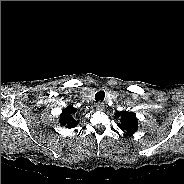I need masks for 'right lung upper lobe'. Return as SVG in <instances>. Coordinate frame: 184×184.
<instances>
[{"instance_id":"right-lung-upper-lobe-1","label":"right lung upper lobe","mask_w":184,"mask_h":184,"mask_svg":"<svg viewBox=\"0 0 184 184\" xmlns=\"http://www.w3.org/2000/svg\"><path fill=\"white\" fill-rule=\"evenodd\" d=\"M77 109L72 105L65 108L60 115V123L67 128H74L78 124V120L74 118Z\"/></svg>"}]
</instances>
